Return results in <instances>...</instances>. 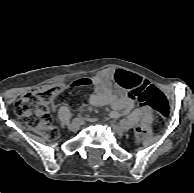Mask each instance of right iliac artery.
Returning <instances> with one entry per match:
<instances>
[{
	"label": "right iliac artery",
	"instance_id": "right-iliac-artery-1",
	"mask_svg": "<svg viewBox=\"0 0 194 193\" xmlns=\"http://www.w3.org/2000/svg\"><path fill=\"white\" fill-rule=\"evenodd\" d=\"M78 121H81V117H78V118H74L73 119V122H78Z\"/></svg>",
	"mask_w": 194,
	"mask_h": 193
}]
</instances>
